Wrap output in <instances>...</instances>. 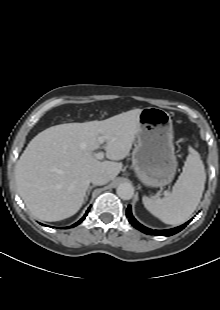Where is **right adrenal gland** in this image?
<instances>
[{
  "label": "right adrenal gland",
  "mask_w": 220,
  "mask_h": 310,
  "mask_svg": "<svg viewBox=\"0 0 220 310\" xmlns=\"http://www.w3.org/2000/svg\"><path fill=\"white\" fill-rule=\"evenodd\" d=\"M94 187H95V186L93 185V186H90V187L88 188L87 194L85 195V201H84V202H86V201L88 200V196L90 195V192H91V190H92Z\"/></svg>",
  "instance_id": "obj_1"
}]
</instances>
